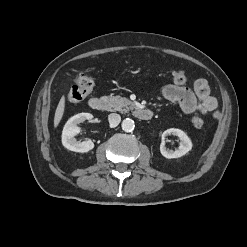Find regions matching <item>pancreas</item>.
I'll use <instances>...</instances> for the list:
<instances>
[{
  "instance_id": "obj_1",
  "label": "pancreas",
  "mask_w": 247,
  "mask_h": 247,
  "mask_svg": "<svg viewBox=\"0 0 247 247\" xmlns=\"http://www.w3.org/2000/svg\"><path fill=\"white\" fill-rule=\"evenodd\" d=\"M107 100L109 102L110 110L127 113L134 108L133 103L127 98H122L120 96H109L107 97Z\"/></svg>"
}]
</instances>
